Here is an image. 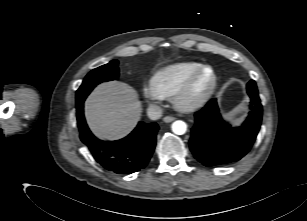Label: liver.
Returning <instances> with one entry per match:
<instances>
[{
	"label": "liver",
	"mask_w": 307,
	"mask_h": 221,
	"mask_svg": "<svg viewBox=\"0 0 307 221\" xmlns=\"http://www.w3.org/2000/svg\"><path fill=\"white\" fill-rule=\"evenodd\" d=\"M142 106L135 89L123 82L98 85L85 101V117L100 139L116 140L130 133L141 118Z\"/></svg>",
	"instance_id": "1"
}]
</instances>
